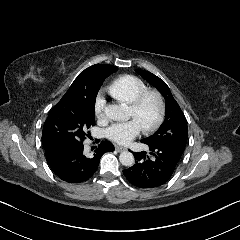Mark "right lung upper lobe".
<instances>
[{
	"label": "right lung upper lobe",
	"mask_w": 240,
	"mask_h": 240,
	"mask_svg": "<svg viewBox=\"0 0 240 240\" xmlns=\"http://www.w3.org/2000/svg\"><path fill=\"white\" fill-rule=\"evenodd\" d=\"M117 70V67L112 66V65H106V64H96L88 67L85 69L82 73L79 74V76L75 79L73 84L70 86L66 94L64 95L65 97L73 93L74 88L82 81L85 80H101L112 74Z\"/></svg>",
	"instance_id": "1"
}]
</instances>
